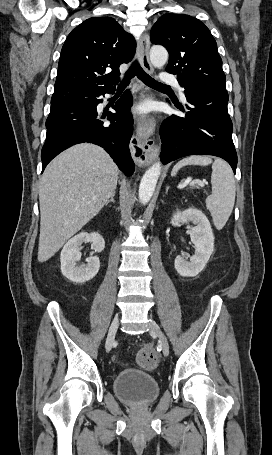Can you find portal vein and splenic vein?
<instances>
[{
	"label": "portal vein and splenic vein",
	"mask_w": 272,
	"mask_h": 455,
	"mask_svg": "<svg viewBox=\"0 0 272 455\" xmlns=\"http://www.w3.org/2000/svg\"><path fill=\"white\" fill-rule=\"evenodd\" d=\"M195 185H198L200 187H204V182L201 181V180H193L190 182V186H195Z\"/></svg>",
	"instance_id": "obj_1"
}]
</instances>
